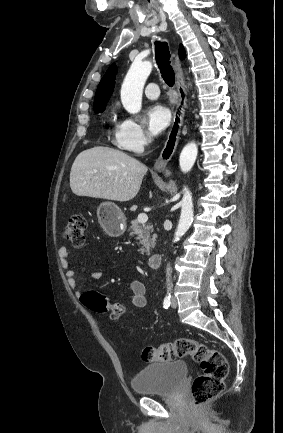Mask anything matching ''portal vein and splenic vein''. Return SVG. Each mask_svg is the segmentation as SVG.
<instances>
[{"instance_id": "obj_1", "label": "portal vein and splenic vein", "mask_w": 283, "mask_h": 433, "mask_svg": "<svg viewBox=\"0 0 283 433\" xmlns=\"http://www.w3.org/2000/svg\"><path fill=\"white\" fill-rule=\"evenodd\" d=\"M94 172H97V170H94ZM137 221L138 223H147V214H145V212H140V214H138Z\"/></svg>"}]
</instances>
